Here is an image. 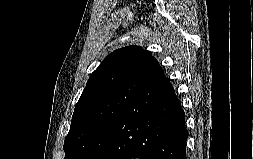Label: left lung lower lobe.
Segmentation results:
<instances>
[{
  "label": "left lung lower lobe",
  "mask_w": 253,
  "mask_h": 159,
  "mask_svg": "<svg viewBox=\"0 0 253 159\" xmlns=\"http://www.w3.org/2000/svg\"><path fill=\"white\" fill-rule=\"evenodd\" d=\"M185 113L164 73L119 114L93 159H186Z\"/></svg>",
  "instance_id": "1"
}]
</instances>
